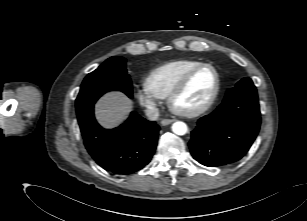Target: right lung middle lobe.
Instances as JSON below:
<instances>
[{
    "instance_id": "dd1d6c3e",
    "label": "right lung middle lobe",
    "mask_w": 307,
    "mask_h": 221,
    "mask_svg": "<svg viewBox=\"0 0 307 221\" xmlns=\"http://www.w3.org/2000/svg\"><path fill=\"white\" fill-rule=\"evenodd\" d=\"M126 60L111 57L84 79L76 99L77 115L94 106L104 93L119 90L132 98V83L126 72Z\"/></svg>"
}]
</instances>
